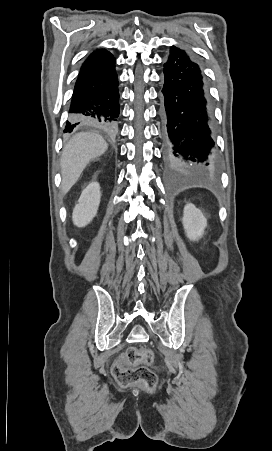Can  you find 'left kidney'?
<instances>
[{
    "label": "left kidney",
    "instance_id": "1",
    "mask_svg": "<svg viewBox=\"0 0 272 451\" xmlns=\"http://www.w3.org/2000/svg\"><path fill=\"white\" fill-rule=\"evenodd\" d=\"M182 224L186 231L187 237L196 241L202 237L204 229L207 226V220L204 218L202 212L195 208L194 204H186L183 210Z\"/></svg>",
    "mask_w": 272,
    "mask_h": 451
}]
</instances>
